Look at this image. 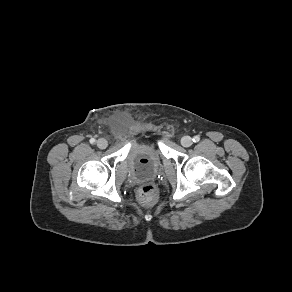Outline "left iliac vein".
I'll return each instance as SVG.
<instances>
[{
	"label": "left iliac vein",
	"instance_id": "obj_1",
	"mask_svg": "<svg viewBox=\"0 0 292 292\" xmlns=\"http://www.w3.org/2000/svg\"><path fill=\"white\" fill-rule=\"evenodd\" d=\"M193 143V140L190 136H184L182 139H181V145L183 147H190Z\"/></svg>",
	"mask_w": 292,
	"mask_h": 292
}]
</instances>
